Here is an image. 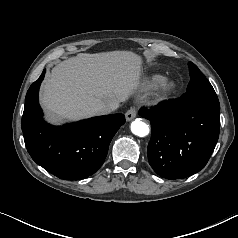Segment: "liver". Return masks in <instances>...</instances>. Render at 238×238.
I'll return each mask as SVG.
<instances>
[{
  "label": "liver",
  "instance_id": "obj_1",
  "mask_svg": "<svg viewBox=\"0 0 238 238\" xmlns=\"http://www.w3.org/2000/svg\"><path fill=\"white\" fill-rule=\"evenodd\" d=\"M142 58L130 51L80 53L44 80L40 101L48 120L62 123L98 115L101 104H120L139 87Z\"/></svg>",
  "mask_w": 238,
  "mask_h": 238
}]
</instances>
